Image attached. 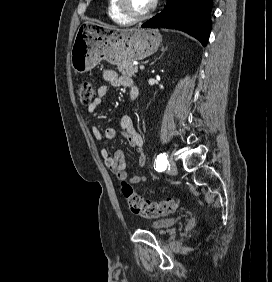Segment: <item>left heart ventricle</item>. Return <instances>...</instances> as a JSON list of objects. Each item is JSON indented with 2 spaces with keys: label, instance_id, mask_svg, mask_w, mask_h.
<instances>
[{
  "label": "left heart ventricle",
  "instance_id": "obj_1",
  "mask_svg": "<svg viewBox=\"0 0 272 282\" xmlns=\"http://www.w3.org/2000/svg\"><path fill=\"white\" fill-rule=\"evenodd\" d=\"M154 0H128V3L136 13H144L150 9Z\"/></svg>",
  "mask_w": 272,
  "mask_h": 282
}]
</instances>
